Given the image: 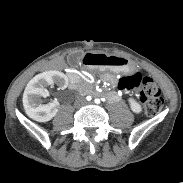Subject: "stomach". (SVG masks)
Instances as JSON below:
<instances>
[{"mask_svg":"<svg viewBox=\"0 0 183 183\" xmlns=\"http://www.w3.org/2000/svg\"><path fill=\"white\" fill-rule=\"evenodd\" d=\"M102 58L103 62L99 66L101 70L109 69L115 73H128L132 69L130 61L125 57L105 54Z\"/></svg>","mask_w":183,"mask_h":183,"instance_id":"obj_1","label":"stomach"}]
</instances>
